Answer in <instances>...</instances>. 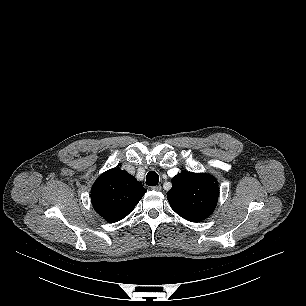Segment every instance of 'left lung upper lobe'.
I'll return each instance as SVG.
<instances>
[{
	"label": "left lung upper lobe",
	"mask_w": 306,
	"mask_h": 306,
	"mask_svg": "<svg viewBox=\"0 0 306 306\" xmlns=\"http://www.w3.org/2000/svg\"><path fill=\"white\" fill-rule=\"evenodd\" d=\"M219 196L216 180L202 173L183 171L172 178L167 192L171 208L184 219L199 222L209 217Z\"/></svg>",
	"instance_id": "obj_1"
}]
</instances>
